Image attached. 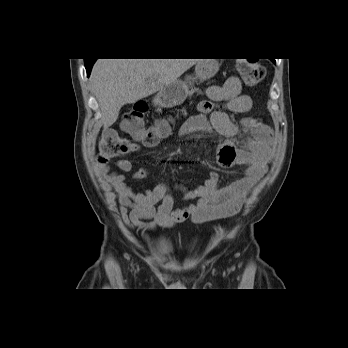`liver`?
Wrapping results in <instances>:
<instances>
[{
  "instance_id": "6515ba94",
  "label": "liver",
  "mask_w": 348,
  "mask_h": 348,
  "mask_svg": "<svg viewBox=\"0 0 348 348\" xmlns=\"http://www.w3.org/2000/svg\"><path fill=\"white\" fill-rule=\"evenodd\" d=\"M200 59H98L90 82L104 127L118 118L121 107L148 97L178 80Z\"/></svg>"
}]
</instances>
